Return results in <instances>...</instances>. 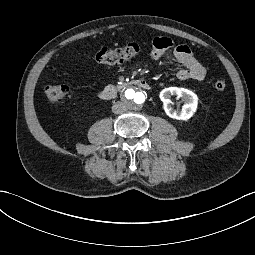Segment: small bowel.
<instances>
[{
	"label": "small bowel",
	"mask_w": 255,
	"mask_h": 255,
	"mask_svg": "<svg viewBox=\"0 0 255 255\" xmlns=\"http://www.w3.org/2000/svg\"><path fill=\"white\" fill-rule=\"evenodd\" d=\"M150 56L155 61L169 60L181 64L183 69L177 72L180 80L201 81L206 76V69L192 50L186 45H175L169 38H155Z\"/></svg>",
	"instance_id": "c3829d8e"
}]
</instances>
